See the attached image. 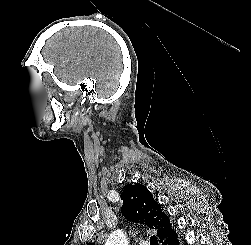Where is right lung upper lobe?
<instances>
[{
	"label": "right lung upper lobe",
	"instance_id": "obj_1",
	"mask_svg": "<svg viewBox=\"0 0 251 245\" xmlns=\"http://www.w3.org/2000/svg\"><path fill=\"white\" fill-rule=\"evenodd\" d=\"M121 199V212L125 219L156 229L160 242L172 234L169 218L144 185L128 184L121 194Z\"/></svg>",
	"mask_w": 251,
	"mask_h": 245
}]
</instances>
